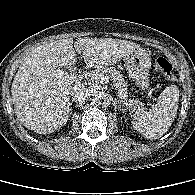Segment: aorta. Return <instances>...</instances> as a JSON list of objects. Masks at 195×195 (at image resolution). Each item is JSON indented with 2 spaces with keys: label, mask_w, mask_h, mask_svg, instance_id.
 I'll use <instances>...</instances> for the list:
<instances>
[{
  "label": "aorta",
  "mask_w": 195,
  "mask_h": 195,
  "mask_svg": "<svg viewBox=\"0 0 195 195\" xmlns=\"http://www.w3.org/2000/svg\"><path fill=\"white\" fill-rule=\"evenodd\" d=\"M101 102H102V97L101 96H98V95H96L94 98H93V100H92V103L94 104V105H100L101 104Z\"/></svg>",
  "instance_id": "1"
}]
</instances>
